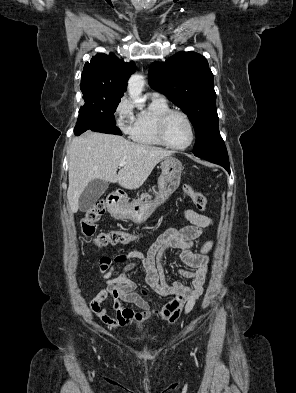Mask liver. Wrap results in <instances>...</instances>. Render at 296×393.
I'll use <instances>...</instances> for the list:
<instances>
[{
	"mask_svg": "<svg viewBox=\"0 0 296 393\" xmlns=\"http://www.w3.org/2000/svg\"><path fill=\"white\" fill-rule=\"evenodd\" d=\"M172 153L111 134L87 131L75 137L68 149L67 198L71 212H77L79 198L92 180L100 179L118 183L125 189H137L147 180L154 167ZM121 161L127 164L117 174Z\"/></svg>",
	"mask_w": 296,
	"mask_h": 393,
	"instance_id": "6515ba94",
	"label": "liver"
}]
</instances>
